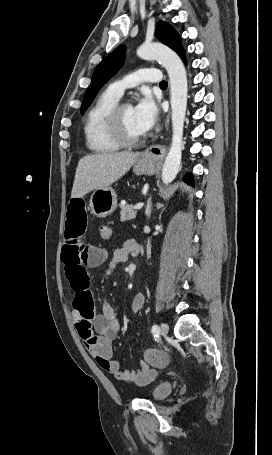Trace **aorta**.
Returning a JSON list of instances; mask_svg holds the SVG:
<instances>
[{"instance_id":"obj_1","label":"aorta","mask_w":272,"mask_h":455,"mask_svg":"<svg viewBox=\"0 0 272 455\" xmlns=\"http://www.w3.org/2000/svg\"><path fill=\"white\" fill-rule=\"evenodd\" d=\"M137 55L145 60H157L167 70L171 89L172 142L166 156L162 181L170 184L179 172L182 157V139L187 107V74L180 57L168 47L158 43H144Z\"/></svg>"}]
</instances>
